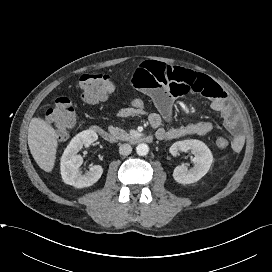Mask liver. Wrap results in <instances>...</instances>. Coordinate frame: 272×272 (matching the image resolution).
Wrapping results in <instances>:
<instances>
[{
  "label": "liver",
  "instance_id": "6515ba94",
  "mask_svg": "<svg viewBox=\"0 0 272 272\" xmlns=\"http://www.w3.org/2000/svg\"><path fill=\"white\" fill-rule=\"evenodd\" d=\"M28 145L38 166L46 172H51L58 146L55 129L41 118H32L28 128Z\"/></svg>",
  "mask_w": 272,
  "mask_h": 272
}]
</instances>
